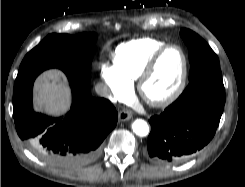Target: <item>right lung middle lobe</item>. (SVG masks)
<instances>
[{
  "label": "right lung middle lobe",
  "mask_w": 245,
  "mask_h": 187,
  "mask_svg": "<svg viewBox=\"0 0 245 187\" xmlns=\"http://www.w3.org/2000/svg\"><path fill=\"white\" fill-rule=\"evenodd\" d=\"M96 36L83 33L76 36L50 34L23 59L20 67L33 63H53L90 68Z\"/></svg>",
  "instance_id": "right-lung-middle-lobe-1"
}]
</instances>
